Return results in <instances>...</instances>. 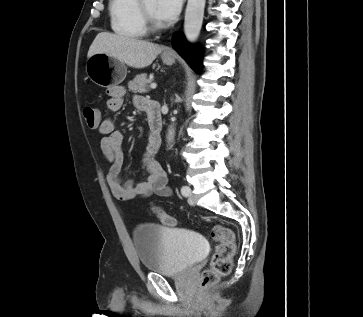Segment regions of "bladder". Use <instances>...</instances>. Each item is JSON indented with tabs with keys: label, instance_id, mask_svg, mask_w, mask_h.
<instances>
[{
	"label": "bladder",
	"instance_id": "bladder-1",
	"mask_svg": "<svg viewBox=\"0 0 363 317\" xmlns=\"http://www.w3.org/2000/svg\"><path fill=\"white\" fill-rule=\"evenodd\" d=\"M133 243L142 268L161 275L181 274L209 251L201 233L154 223L137 226L133 230Z\"/></svg>",
	"mask_w": 363,
	"mask_h": 317
}]
</instances>
